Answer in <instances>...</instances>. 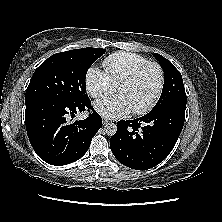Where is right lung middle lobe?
I'll use <instances>...</instances> for the list:
<instances>
[{
    "mask_svg": "<svg viewBox=\"0 0 222 222\" xmlns=\"http://www.w3.org/2000/svg\"><path fill=\"white\" fill-rule=\"evenodd\" d=\"M105 51L88 47L50 56L35 70L26 90L25 104L43 97H55L66 101L88 98L86 73Z\"/></svg>",
    "mask_w": 222,
    "mask_h": 222,
    "instance_id": "obj_1",
    "label": "right lung middle lobe"
}]
</instances>
